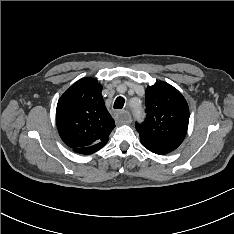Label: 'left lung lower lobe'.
I'll return each mask as SVG.
<instances>
[{"label": "left lung lower lobe", "instance_id": "1", "mask_svg": "<svg viewBox=\"0 0 234 234\" xmlns=\"http://www.w3.org/2000/svg\"><path fill=\"white\" fill-rule=\"evenodd\" d=\"M140 140H141L142 145L146 149L159 155L170 153L179 146L176 143L166 140V139H159L156 141H147V140L140 138Z\"/></svg>", "mask_w": 234, "mask_h": 234}]
</instances>
